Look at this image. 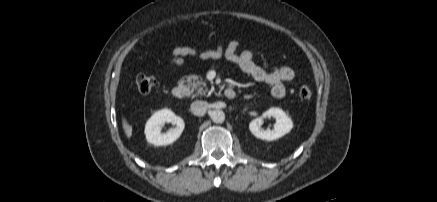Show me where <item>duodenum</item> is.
I'll return each instance as SVG.
<instances>
[{
  "instance_id": "obj_1",
  "label": "duodenum",
  "mask_w": 437,
  "mask_h": 202,
  "mask_svg": "<svg viewBox=\"0 0 437 202\" xmlns=\"http://www.w3.org/2000/svg\"><path fill=\"white\" fill-rule=\"evenodd\" d=\"M172 95L177 99H182L185 96V88L183 85L177 84L172 88ZM237 92L233 88H226L224 90V96L228 99H234Z\"/></svg>"
}]
</instances>
